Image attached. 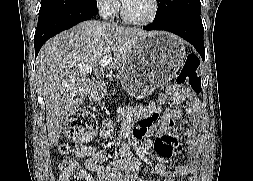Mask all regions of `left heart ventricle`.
I'll return each instance as SVG.
<instances>
[{
    "instance_id": "b2bd125f",
    "label": "left heart ventricle",
    "mask_w": 253,
    "mask_h": 181,
    "mask_svg": "<svg viewBox=\"0 0 253 181\" xmlns=\"http://www.w3.org/2000/svg\"><path fill=\"white\" fill-rule=\"evenodd\" d=\"M127 14L133 19L143 20L150 16L152 0H122Z\"/></svg>"
}]
</instances>
